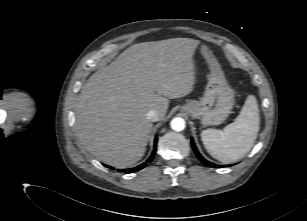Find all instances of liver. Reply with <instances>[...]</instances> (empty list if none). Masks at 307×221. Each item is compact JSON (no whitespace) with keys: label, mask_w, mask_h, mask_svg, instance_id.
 I'll return each instance as SVG.
<instances>
[{"label":"liver","mask_w":307,"mask_h":221,"mask_svg":"<svg viewBox=\"0 0 307 221\" xmlns=\"http://www.w3.org/2000/svg\"><path fill=\"white\" fill-rule=\"evenodd\" d=\"M199 44L190 38L134 44L93 73L76 103L77 135L86 149L117 168L139 161L153 126L146 114L156 109L162 120L169 99L192 91Z\"/></svg>","instance_id":"1"}]
</instances>
